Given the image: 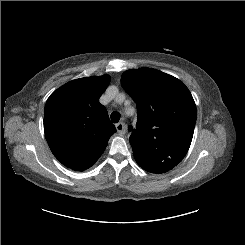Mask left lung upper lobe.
Masks as SVG:
<instances>
[{"label": "left lung upper lobe", "instance_id": "5c2ea615", "mask_svg": "<svg viewBox=\"0 0 245 245\" xmlns=\"http://www.w3.org/2000/svg\"><path fill=\"white\" fill-rule=\"evenodd\" d=\"M121 84L137 104L130 136L137 164L148 172L171 170L186 155L196 122V105L179 79L152 68L123 73Z\"/></svg>", "mask_w": 245, "mask_h": 245}]
</instances>
